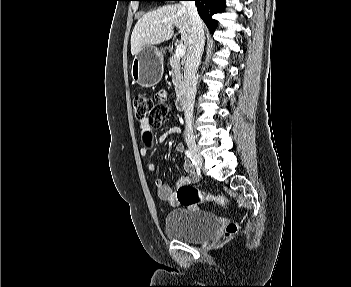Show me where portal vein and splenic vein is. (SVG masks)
<instances>
[{"mask_svg":"<svg viewBox=\"0 0 351 287\" xmlns=\"http://www.w3.org/2000/svg\"><path fill=\"white\" fill-rule=\"evenodd\" d=\"M168 29H171V27L169 26ZM185 52H186V47L183 44H180L176 48L175 56L180 59L185 55Z\"/></svg>","mask_w":351,"mask_h":287,"instance_id":"18ae733b","label":"portal vein and splenic vein"}]
</instances>
